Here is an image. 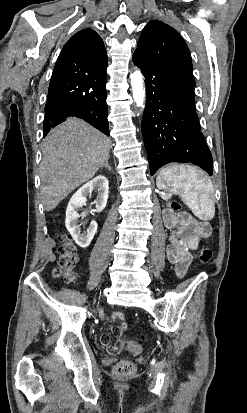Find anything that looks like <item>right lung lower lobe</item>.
<instances>
[{"instance_id": "obj_1", "label": "right lung lower lobe", "mask_w": 247, "mask_h": 413, "mask_svg": "<svg viewBox=\"0 0 247 413\" xmlns=\"http://www.w3.org/2000/svg\"><path fill=\"white\" fill-rule=\"evenodd\" d=\"M106 68L86 73L53 71L45 106L44 137L50 128L74 116L109 136Z\"/></svg>"}]
</instances>
